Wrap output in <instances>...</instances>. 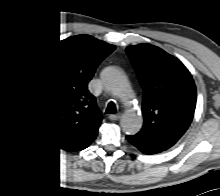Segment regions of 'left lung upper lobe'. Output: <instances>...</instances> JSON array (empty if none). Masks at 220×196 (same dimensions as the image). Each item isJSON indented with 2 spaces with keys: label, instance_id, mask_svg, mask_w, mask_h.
<instances>
[{
  "label": "left lung upper lobe",
  "instance_id": "1",
  "mask_svg": "<svg viewBox=\"0 0 220 196\" xmlns=\"http://www.w3.org/2000/svg\"><path fill=\"white\" fill-rule=\"evenodd\" d=\"M126 52L144 89V125L138 134L164 150L188 129L196 107V88L188 69L174 56L149 44Z\"/></svg>",
  "mask_w": 220,
  "mask_h": 196
}]
</instances>
